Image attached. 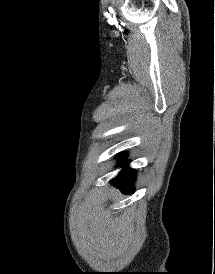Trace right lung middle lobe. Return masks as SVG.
<instances>
[{"label": "right lung middle lobe", "mask_w": 215, "mask_h": 274, "mask_svg": "<svg viewBox=\"0 0 215 274\" xmlns=\"http://www.w3.org/2000/svg\"><path fill=\"white\" fill-rule=\"evenodd\" d=\"M119 157H120L121 160H124L125 159V154H121Z\"/></svg>", "instance_id": "right-lung-middle-lobe-1"}]
</instances>
